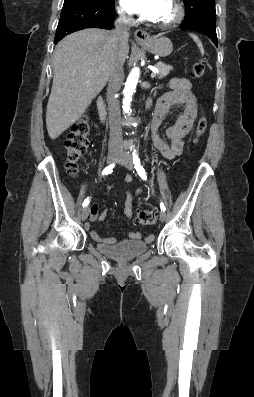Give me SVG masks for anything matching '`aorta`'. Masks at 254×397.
I'll list each match as a JSON object with an SVG mask.
<instances>
[{"instance_id": "aorta-1", "label": "aorta", "mask_w": 254, "mask_h": 397, "mask_svg": "<svg viewBox=\"0 0 254 397\" xmlns=\"http://www.w3.org/2000/svg\"><path fill=\"white\" fill-rule=\"evenodd\" d=\"M139 79V69L138 68H133L132 71L130 72L125 88H124V98H123V111L127 114H130L131 112V100H132V95L136 89V85Z\"/></svg>"}]
</instances>
